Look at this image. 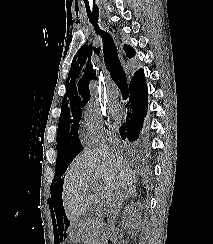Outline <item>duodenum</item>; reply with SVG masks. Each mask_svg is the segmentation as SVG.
<instances>
[{
  "instance_id": "1",
  "label": "duodenum",
  "mask_w": 213,
  "mask_h": 244,
  "mask_svg": "<svg viewBox=\"0 0 213 244\" xmlns=\"http://www.w3.org/2000/svg\"><path fill=\"white\" fill-rule=\"evenodd\" d=\"M104 220H105V222H106L107 224L110 223V217H109L108 214H106V215L104 216Z\"/></svg>"
}]
</instances>
